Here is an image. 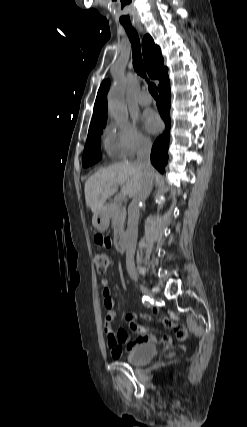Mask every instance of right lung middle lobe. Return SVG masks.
<instances>
[{
    "mask_svg": "<svg viewBox=\"0 0 247 427\" xmlns=\"http://www.w3.org/2000/svg\"><path fill=\"white\" fill-rule=\"evenodd\" d=\"M106 123L89 129L86 145L83 152V167H88L101 159L99 154L101 130Z\"/></svg>",
    "mask_w": 247,
    "mask_h": 427,
    "instance_id": "1",
    "label": "right lung middle lobe"
}]
</instances>
